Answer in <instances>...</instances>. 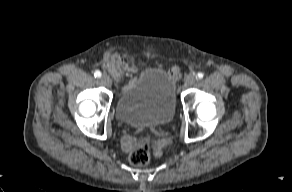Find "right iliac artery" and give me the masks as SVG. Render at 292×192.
<instances>
[{
    "mask_svg": "<svg viewBox=\"0 0 292 192\" xmlns=\"http://www.w3.org/2000/svg\"><path fill=\"white\" fill-rule=\"evenodd\" d=\"M94 76L97 77V78H100L101 77V72L99 70H96L94 72Z\"/></svg>",
    "mask_w": 292,
    "mask_h": 192,
    "instance_id": "right-iliac-artery-1",
    "label": "right iliac artery"
}]
</instances>
